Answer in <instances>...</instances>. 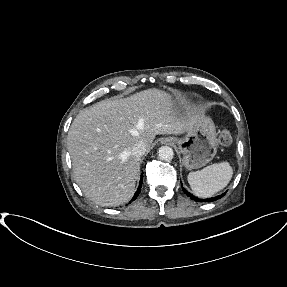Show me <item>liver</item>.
Here are the masks:
<instances>
[{
    "label": "liver",
    "instance_id": "6515ba94",
    "mask_svg": "<svg viewBox=\"0 0 287 287\" xmlns=\"http://www.w3.org/2000/svg\"><path fill=\"white\" fill-rule=\"evenodd\" d=\"M169 93L151 88L123 99H106L79 112L67 136L73 175L84 195L100 206L128 202L138 176L133 146L151 148L156 135L183 134L203 115L180 113Z\"/></svg>",
    "mask_w": 287,
    "mask_h": 287
}]
</instances>
